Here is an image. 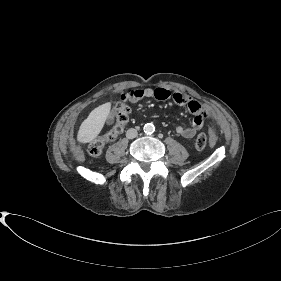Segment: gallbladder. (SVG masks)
I'll use <instances>...</instances> for the list:
<instances>
[{
    "label": "gallbladder",
    "instance_id": "bac80fb5",
    "mask_svg": "<svg viewBox=\"0 0 281 281\" xmlns=\"http://www.w3.org/2000/svg\"><path fill=\"white\" fill-rule=\"evenodd\" d=\"M112 123H113V121H112V120H109V121H108V124H112Z\"/></svg>",
    "mask_w": 281,
    "mask_h": 281
}]
</instances>
